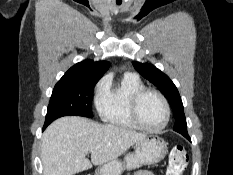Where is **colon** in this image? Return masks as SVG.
I'll use <instances>...</instances> for the list:
<instances>
[{"mask_svg":"<svg viewBox=\"0 0 233 175\" xmlns=\"http://www.w3.org/2000/svg\"><path fill=\"white\" fill-rule=\"evenodd\" d=\"M188 161L187 150L182 145L174 146L169 153L165 175H182Z\"/></svg>","mask_w":233,"mask_h":175,"instance_id":"obj_1","label":"colon"}]
</instances>
